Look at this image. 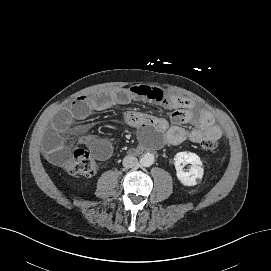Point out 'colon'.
Instances as JSON below:
<instances>
[{
	"mask_svg": "<svg viewBox=\"0 0 271 271\" xmlns=\"http://www.w3.org/2000/svg\"><path fill=\"white\" fill-rule=\"evenodd\" d=\"M218 139L205 138L200 146L203 150L212 151L218 147ZM64 170L73 176H92L96 173L97 165L91 155L83 149H77L73 152L70 159L64 165Z\"/></svg>",
	"mask_w": 271,
	"mask_h": 271,
	"instance_id": "1",
	"label": "colon"
}]
</instances>
